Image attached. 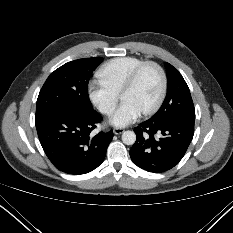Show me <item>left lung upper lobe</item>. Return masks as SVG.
Returning a JSON list of instances; mask_svg holds the SVG:
<instances>
[{"mask_svg":"<svg viewBox=\"0 0 233 233\" xmlns=\"http://www.w3.org/2000/svg\"><path fill=\"white\" fill-rule=\"evenodd\" d=\"M167 69V95L159 109L149 121L162 123L176 118L195 119V109L189 88L182 75L169 63Z\"/></svg>","mask_w":233,"mask_h":233,"instance_id":"left-lung-upper-lobe-1","label":"left lung upper lobe"}]
</instances>
